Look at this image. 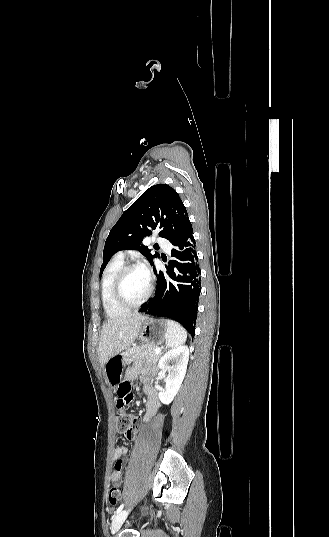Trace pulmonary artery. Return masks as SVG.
Instances as JSON below:
<instances>
[{
  "label": "pulmonary artery",
  "instance_id": "obj_1",
  "mask_svg": "<svg viewBox=\"0 0 329 537\" xmlns=\"http://www.w3.org/2000/svg\"><path fill=\"white\" fill-rule=\"evenodd\" d=\"M155 241L160 244L166 251H170V248H171V244L169 243L168 240L164 239V238H161V237H157L155 238ZM123 253L122 252H119L117 254V257H120V258H123Z\"/></svg>",
  "mask_w": 329,
  "mask_h": 537
}]
</instances>
